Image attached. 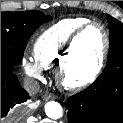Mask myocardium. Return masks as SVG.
<instances>
[{
  "mask_svg": "<svg viewBox=\"0 0 123 123\" xmlns=\"http://www.w3.org/2000/svg\"><path fill=\"white\" fill-rule=\"evenodd\" d=\"M91 26H97L102 31L104 44L92 70L85 76H78L73 72L72 69L75 46L79 38ZM109 46H110L109 34L103 24L97 21H88L79 29H77L70 38L66 55L62 63L58 67V77L61 85L68 90H78L92 84L101 73V70L103 68L104 62L106 60L109 51Z\"/></svg>",
  "mask_w": 123,
  "mask_h": 123,
  "instance_id": "myocardium-1",
  "label": "myocardium"
}]
</instances>
